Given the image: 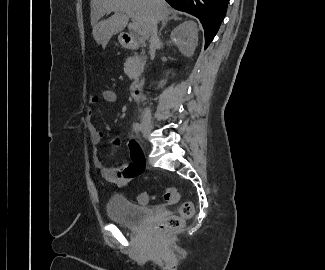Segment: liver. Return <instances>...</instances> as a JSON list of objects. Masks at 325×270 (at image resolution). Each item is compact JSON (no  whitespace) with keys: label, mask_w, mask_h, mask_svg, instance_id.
<instances>
[{"label":"liver","mask_w":325,"mask_h":270,"mask_svg":"<svg viewBox=\"0 0 325 270\" xmlns=\"http://www.w3.org/2000/svg\"><path fill=\"white\" fill-rule=\"evenodd\" d=\"M90 7L92 34L103 47L115 33L126 27L128 17L138 23L143 38L148 39L152 23L164 21L172 13L165 0H91ZM112 9H116L114 15L99 22Z\"/></svg>","instance_id":"1"}]
</instances>
